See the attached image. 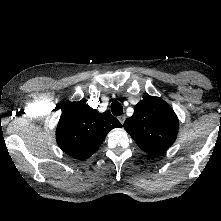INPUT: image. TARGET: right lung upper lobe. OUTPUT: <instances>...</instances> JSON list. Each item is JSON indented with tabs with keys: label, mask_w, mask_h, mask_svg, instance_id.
<instances>
[{
	"label": "right lung upper lobe",
	"mask_w": 221,
	"mask_h": 221,
	"mask_svg": "<svg viewBox=\"0 0 221 221\" xmlns=\"http://www.w3.org/2000/svg\"><path fill=\"white\" fill-rule=\"evenodd\" d=\"M122 127L109 112L99 113L83 101L68 104L56 129V140L68 155L85 160L98 150L108 132Z\"/></svg>",
	"instance_id": "obj_1"
}]
</instances>
